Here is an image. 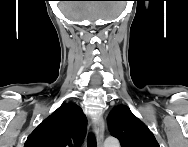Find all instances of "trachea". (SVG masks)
<instances>
[{
	"label": "trachea",
	"instance_id": "obj_1",
	"mask_svg": "<svg viewBox=\"0 0 188 147\" xmlns=\"http://www.w3.org/2000/svg\"><path fill=\"white\" fill-rule=\"evenodd\" d=\"M87 147H97V146H96L95 137H94L92 134H90V135L88 136Z\"/></svg>",
	"mask_w": 188,
	"mask_h": 147
}]
</instances>
